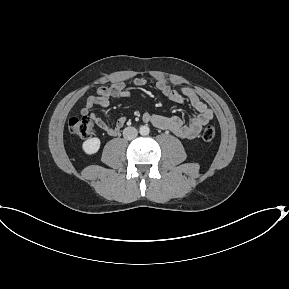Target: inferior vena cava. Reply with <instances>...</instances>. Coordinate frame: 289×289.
I'll return each instance as SVG.
<instances>
[{"instance_id": "inferior-vena-cava-1", "label": "inferior vena cava", "mask_w": 289, "mask_h": 289, "mask_svg": "<svg viewBox=\"0 0 289 289\" xmlns=\"http://www.w3.org/2000/svg\"><path fill=\"white\" fill-rule=\"evenodd\" d=\"M138 131L134 127H127L123 130V137L127 140H133L137 137Z\"/></svg>"}]
</instances>
